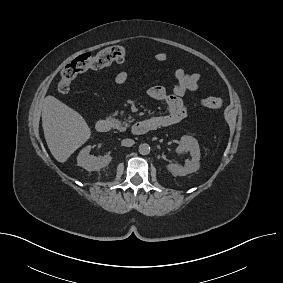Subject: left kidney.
<instances>
[{
  "label": "left kidney",
  "instance_id": "left-kidney-1",
  "mask_svg": "<svg viewBox=\"0 0 283 283\" xmlns=\"http://www.w3.org/2000/svg\"><path fill=\"white\" fill-rule=\"evenodd\" d=\"M176 151L178 153H183L188 151L191 155V161L186 163V166H181L178 164H168L167 169L172 173L173 176H185L196 172L200 167V148L197 140L191 136H182L179 146Z\"/></svg>",
  "mask_w": 283,
  "mask_h": 283
}]
</instances>
